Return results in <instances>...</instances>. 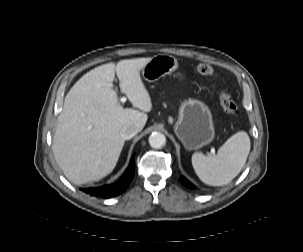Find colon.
Listing matches in <instances>:
<instances>
[{"label": "colon", "instance_id": "colon-1", "mask_svg": "<svg viewBox=\"0 0 303 252\" xmlns=\"http://www.w3.org/2000/svg\"><path fill=\"white\" fill-rule=\"evenodd\" d=\"M197 72L205 76H211L214 73V69L209 64L201 63L197 66ZM219 100L221 106L229 115L235 116L238 114V108L235 102L225 89H220Z\"/></svg>", "mask_w": 303, "mask_h": 252}]
</instances>
